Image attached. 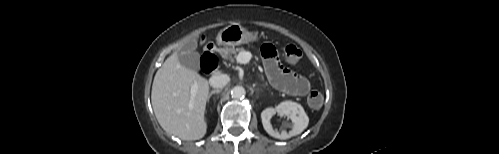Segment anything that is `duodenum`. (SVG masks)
I'll return each instance as SVG.
<instances>
[{
  "label": "duodenum",
  "mask_w": 499,
  "mask_h": 154,
  "mask_svg": "<svg viewBox=\"0 0 499 154\" xmlns=\"http://www.w3.org/2000/svg\"><path fill=\"white\" fill-rule=\"evenodd\" d=\"M211 55L216 57V54H215V47H214V48H213L210 52H208V53L204 56V58L202 59V61H201V69H202V70H203V72H205V73H211V72H213V71H215V70H216V69H214V70L210 69V68L208 67V65H207V57H209V56H211Z\"/></svg>",
  "instance_id": "410a0bca"
}]
</instances>
